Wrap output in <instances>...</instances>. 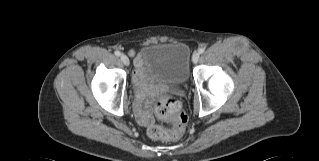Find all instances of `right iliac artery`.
Instances as JSON below:
<instances>
[{"label":"right iliac artery","mask_w":319,"mask_h":161,"mask_svg":"<svg viewBox=\"0 0 319 161\" xmlns=\"http://www.w3.org/2000/svg\"><path fill=\"white\" fill-rule=\"evenodd\" d=\"M116 56H120L121 55V53L119 52V51H115V53H114Z\"/></svg>","instance_id":"82829eb1"}]
</instances>
